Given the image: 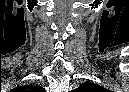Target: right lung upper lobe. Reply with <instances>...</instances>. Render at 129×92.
Returning a JSON list of instances; mask_svg holds the SVG:
<instances>
[{
	"label": "right lung upper lobe",
	"instance_id": "1",
	"mask_svg": "<svg viewBox=\"0 0 129 92\" xmlns=\"http://www.w3.org/2000/svg\"><path fill=\"white\" fill-rule=\"evenodd\" d=\"M22 88V91H34V92H43L44 89L42 87H40L39 85H36V86H32V85H27V86H22L20 87Z\"/></svg>",
	"mask_w": 129,
	"mask_h": 92
}]
</instances>
